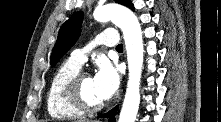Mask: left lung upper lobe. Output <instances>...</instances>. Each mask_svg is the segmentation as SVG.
<instances>
[{"instance_id": "5c2ea615", "label": "left lung upper lobe", "mask_w": 221, "mask_h": 122, "mask_svg": "<svg viewBox=\"0 0 221 122\" xmlns=\"http://www.w3.org/2000/svg\"><path fill=\"white\" fill-rule=\"evenodd\" d=\"M115 2L134 9L131 0H115ZM83 12L73 14L60 28L56 44L53 48L50 64L55 66L62 56L74 45L81 33Z\"/></svg>"}]
</instances>
